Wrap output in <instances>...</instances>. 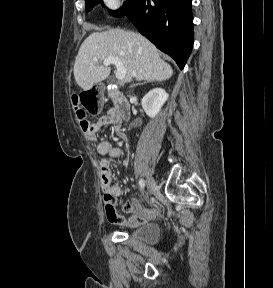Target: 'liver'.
Returning <instances> with one entry per match:
<instances>
[{
  "label": "liver",
  "instance_id": "liver-1",
  "mask_svg": "<svg viewBox=\"0 0 273 288\" xmlns=\"http://www.w3.org/2000/svg\"><path fill=\"white\" fill-rule=\"evenodd\" d=\"M107 57L118 58L126 69L124 82L169 79L173 70L161 60L158 49L139 33L110 29L90 34L80 46L74 64V77L85 91L105 80L110 67L102 65ZM97 58V61L94 60Z\"/></svg>",
  "mask_w": 273,
  "mask_h": 288
}]
</instances>
